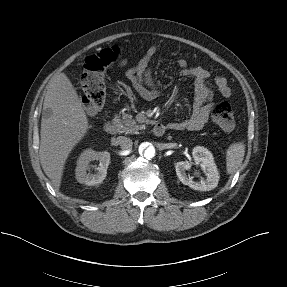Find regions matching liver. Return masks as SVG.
I'll list each match as a JSON object with an SVG mask.
<instances>
[{"label":"liver","mask_w":287,"mask_h":287,"mask_svg":"<svg viewBox=\"0 0 287 287\" xmlns=\"http://www.w3.org/2000/svg\"><path fill=\"white\" fill-rule=\"evenodd\" d=\"M89 128L83 103L65 73L47 86L40 130V161L55 189H59L65 162Z\"/></svg>","instance_id":"liver-1"}]
</instances>
